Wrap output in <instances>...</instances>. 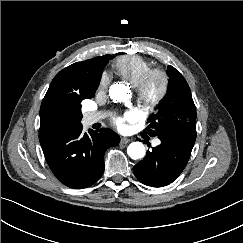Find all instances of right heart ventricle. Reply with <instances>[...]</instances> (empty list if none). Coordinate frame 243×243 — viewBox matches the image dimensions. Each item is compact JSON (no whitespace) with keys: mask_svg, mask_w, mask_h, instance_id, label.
<instances>
[{"mask_svg":"<svg viewBox=\"0 0 243 243\" xmlns=\"http://www.w3.org/2000/svg\"><path fill=\"white\" fill-rule=\"evenodd\" d=\"M112 67L118 76L135 87L152 68V63L139 56L124 55L117 58Z\"/></svg>","mask_w":243,"mask_h":243,"instance_id":"e07e8e85","label":"right heart ventricle"}]
</instances>
